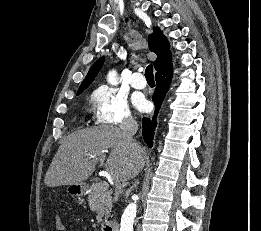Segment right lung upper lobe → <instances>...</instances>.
<instances>
[{
    "instance_id": "cb5924a9",
    "label": "right lung upper lobe",
    "mask_w": 261,
    "mask_h": 231,
    "mask_svg": "<svg viewBox=\"0 0 261 231\" xmlns=\"http://www.w3.org/2000/svg\"><path fill=\"white\" fill-rule=\"evenodd\" d=\"M149 49L157 54V59L153 62L157 73L172 66L171 51L167 38L156 27L154 32L148 38ZM104 62V57L97 60L90 68L87 76L81 83L78 92L85 90L94 80Z\"/></svg>"
}]
</instances>
